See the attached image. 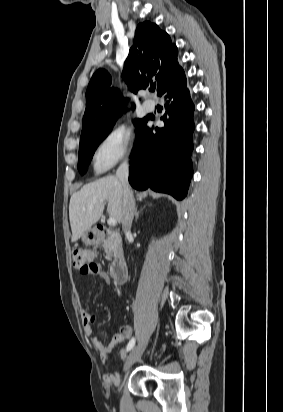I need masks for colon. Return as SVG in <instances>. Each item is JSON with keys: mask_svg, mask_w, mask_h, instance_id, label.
Returning <instances> with one entry per match:
<instances>
[{"mask_svg": "<svg viewBox=\"0 0 283 412\" xmlns=\"http://www.w3.org/2000/svg\"><path fill=\"white\" fill-rule=\"evenodd\" d=\"M71 259L81 274L93 275L100 271L99 264L92 259L91 253L87 250L73 249Z\"/></svg>", "mask_w": 283, "mask_h": 412, "instance_id": "5ec220e1", "label": "colon"}]
</instances>
